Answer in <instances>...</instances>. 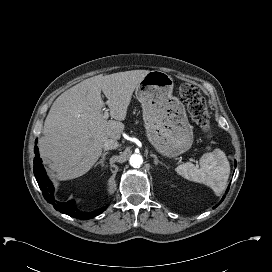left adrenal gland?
<instances>
[{"instance_id":"obj_1","label":"left adrenal gland","mask_w":272,"mask_h":272,"mask_svg":"<svg viewBox=\"0 0 272 272\" xmlns=\"http://www.w3.org/2000/svg\"><path fill=\"white\" fill-rule=\"evenodd\" d=\"M150 156L154 158L155 165L161 164V165L165 166L166 168H168V166L166 164H164L162 161H160L155 154L150 153Z\"/></svg>"}]
</instances>
